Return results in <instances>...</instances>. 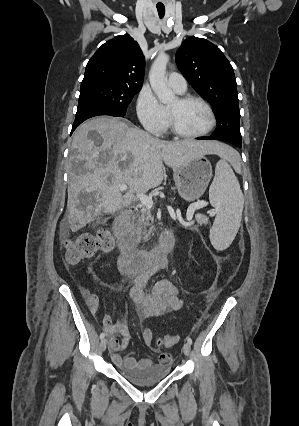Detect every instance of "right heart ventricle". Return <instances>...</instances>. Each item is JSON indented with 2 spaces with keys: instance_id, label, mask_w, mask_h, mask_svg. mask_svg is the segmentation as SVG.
Listing matches in <instances>:
<instances>
[{
  "instance_id": "e07e8e85",
  "label": "right heart ventricle",
  "mask_w": 299,
  "mask_h": 426,
  "mask_svg": "<svg viewBox=\"0 0 299 426\" xmlns=\"http://www.w3.org/2000/svg\"><path fill=\"white\" fill-rule=\"evenodd\" d=\"M167 112V111H166ZM167 115H168V112H167ZM168 122H169V116H168Z\"/></svg>"
}]
</instances>
